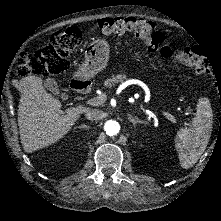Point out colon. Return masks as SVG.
I'll list each match as a JSON object with an SVG mask.
<instances>
[{
    "mask_svg": "<svg viewBox=\"0 0 221 221\" xmlns=\"http://www.w3.org/2000/svg\"><path fill=\"white\" fill-rule=\"evenodd\" d=\"M96 30L103 35L119 36L132 33L151 52L158 51L159 46L165 41V35L157 29L156 25L143 18H104L97 22ZM82 40L81 31L75 28L54 33L50 38V46L32 53H24L18 58L15 74L21 78L31 75L49 78L53 74L62 73L69 65L67 57L76 51ZM160 53L194 67L198 74L209 73L211 70L210 61L199 50L175 49L172 43H168L160 50Z\"/></svg>",
    "mask_w": 221,
    "mask_h": 221,
    "instance_id": "colon-1",
    "label": "colon"
}]
</instances>
